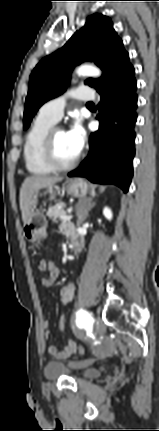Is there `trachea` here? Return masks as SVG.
<instances>
[{"label":"trachea","mask_w":159,"mask_h":431,"mask_svg":"<svg viewBox=\"0 0 159 431\" xmlns=\"http://www.w3.org/2000/svg\"><path fill=\"white\" fill-rule=\"evenodd\" d=\"M87 105H93V103L92 102H88Z\"/></svg>","instance_id":"3493384b"}]
</instances>
